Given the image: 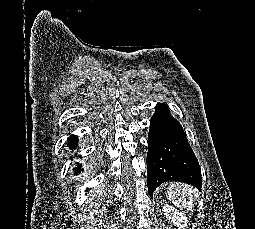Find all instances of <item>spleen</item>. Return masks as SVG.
<instances>
[{
	"label": "spleen",
	"mask_w": 255,
	"mask_h": 229,
	"mask_svg": "<svg viewBox=\"0 0 255 229\" xmlns=\"http://www.w3.org/2000/svg\"><path fill=\"white\" fill-rule=\"evenodd\" d=\"M167 196L175 206L191 210L198 194L193 186L177 182L169 185Z\"/></svg>",
	"instance_id": "3e777b00"
}]
</instances>
